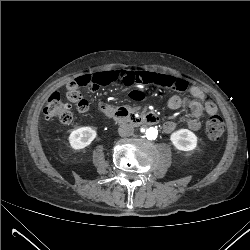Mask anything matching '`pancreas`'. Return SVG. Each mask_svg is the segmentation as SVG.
Instances as JSON below:
<instances>
[{"label":"pancreas","instance_id":"cf45deb5","mask_svg":"<svg viewBox=\"0 0 250 250\" xmlns=\"http://www.w3.org/2000/svg\"><path fill=\"white\" fill-rule=\"evenodd\" d=\"M131 112L134 113V112H136V111H131ZM122 121H124V122H131L132 120H131L130 117L128 116V117L123 118Z\"/></svg>","mask_w":250,"mask_h":250}]
</instances>
